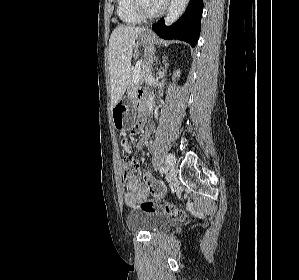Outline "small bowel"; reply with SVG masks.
Wrapping results in <instances>:
<instances>
[{
    "label": "small bowel",
    "mask_w": 299,
    "mask_h": 280,
    "mask_svg": "<svg viewBox=\"0 0 299 280\" xmlns=\"http://www.w3.org/2000/svg\"><path fill=\"white\" fill-rule=\"evenodd\" d=\"M144 124L145 116L139 109L138 118L133 127V132L141 130ZM153 128L154 126L151 123L146 125L145 132L137 145L138 148L149 144L148 139L153 131ZM150 149L152 150V146H150ZM126 183L127 185L123 198L125 204L129 207H136L142 202L147 201L150 194L157 197H163L166 193L165 185L148 173H144L141 177L132 174L126 178Z\"/></svg>",
    "instance_id": "c3829d8e"
}]
</instances>
